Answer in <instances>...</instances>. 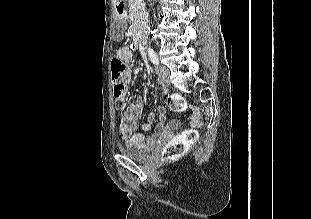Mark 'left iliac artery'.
Instances as JSON below:
<instances>
[{"mask_svg":"<svg viewBox=\"0 0 311 219\" xmlns=\"http://www.w3.org/2000/svg\"><path fill=\"white\" fill-rule=\"evenodd\" d=\"M148 54H149V58L153 62V64L158 65L159 62H158L157 55L152 48L148 49Z\"/></svg>","mask_w":311,"mask_h":219,"instance_id":"44dca946","label":"left iliac artery"}]
</instances>
